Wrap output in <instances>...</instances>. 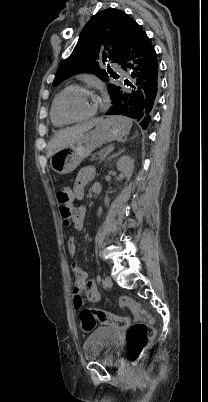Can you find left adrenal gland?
I'll use <instances>...</instances> for the list:
<instances>
[{"mask_svg": "<svg viewBox=\"0 0 208 402\" xmlns=\"http://www.w3.org/2000/svg\"><path fill=\"white\" fill-rule=\"evenodd\" d=\"M121 152H124V150H121ZM121 152H119V154H121ZM116 156H118V154H114V156H110V158H108V160H112V158H116Z\"/></svg>", "mask_w": 208, "mask_h": 402, "instance_id": "a2214340", "label": "left adrenal gland"}]
</instances>
